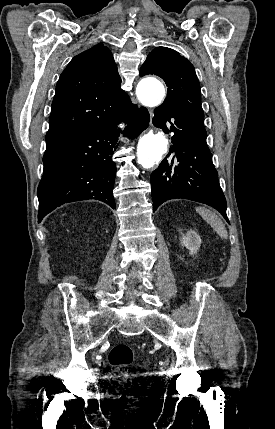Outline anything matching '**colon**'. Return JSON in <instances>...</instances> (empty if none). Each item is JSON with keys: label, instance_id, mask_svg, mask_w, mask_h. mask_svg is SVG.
I'll list each match as a JSON object with an SVG mask.
<instances>
[{"label": "colon", "instance_id": "obj_1", "mask_svg": "<svg viewBox=\"0 0 275 429\" xmlns=\"http://www.w3.org/2000/svg\"><path fill=\"white\" fill-rule=\"evenodd\" d=\"M109 363L113 368V374L117 379H127L126 368L133 362V351L126 344L114 346L109 353ZM129 390L136 391L139 389V383L129 380L126 384ZM121 400L128 403H133L134 398L129 395H123Z\"/></svg>", "mask_w": 275, "mask_h": 429}]
</instances>
